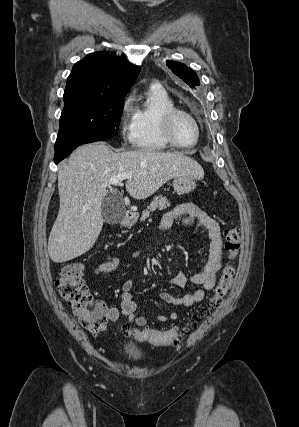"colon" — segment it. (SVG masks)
<instances>
[{"label": "colon", "mask_w": 299, "mask_h": 427, "mask_svg": "<svg viewBox=\"0 0 299 427\" xmlns=\"http://www.w3.org/2000/svg\"><path fill=\"white\" fill-rule=\"evenodd\" d=\"M225 249L228 253V262L222 269L209 304L194 317L191 326H195L201 319L207 318L211 310L226 297L232 286L235 272L233 259L238 255L240 249L239 231L235 227L230 226L225 231ZM82 272L83 267L80 263L66 264L59 272L56 285L61 297L68 303L82 327L92 334H99L105 330L108 321L107 308L93 298L82 279ZM125 330L140 341L157 346H170L179 344L189 334L190 326L174 327L165 331L129 327H125Z\"/></svg>", "instance_id": "1"}]
</instances>
